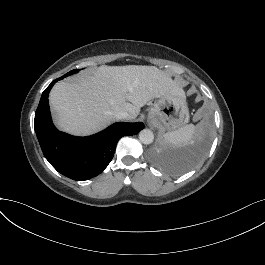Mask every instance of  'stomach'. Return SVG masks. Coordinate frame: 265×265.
<instances>
[{"mask_svg":"<svg viewBox=\"0 0 265 265\" xmlns=\"http://www.w3.org/2000/svg\"><path fill=\"white\" fill-rule=\"evenodd\" d=\"M189 120L186 98L180 96H161L154 102L148 122L161 132H170L184 126Z\"/></svg>","mask_w":265,"mask_h":265,"instance_id":"0dacf381","label":"stomach"}]
</instances>
